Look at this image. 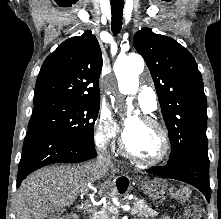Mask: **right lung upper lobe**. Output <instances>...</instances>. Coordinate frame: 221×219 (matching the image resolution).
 Wrapping results in <instances>:
<instances>
[{"label":"right lung upper lobe","instance_id":"1","mask_svg":"<svg viewBox=\"0 0 221 219\" xmlns=\"http://www.w3.org/2000/svg\"><path fill=\"white\" fill-rule=\"evenodd\" d=\"M101 69V49L91 31L67 39L45 59L37 78L34 103L44 100L100 102Z\"/></svg>","mask_w":221,"mask_h":219}]
</instances>
